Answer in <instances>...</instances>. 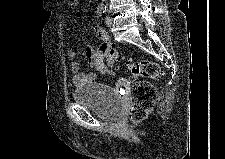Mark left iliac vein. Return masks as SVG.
<instances>
[{
  "label": "left iliac vein",
  "instance_id": "left-iliac-vein-1",
  "mask_svg": "<svg viewBox=\"0 0 225 159\" xmlns=\"http://www.w3.org/2000/svg\"><path fill=\"white\" fill-rule=\"evenodd\" d=\"M112 23H113L112 18L111 17H107L106 18V25L110 27L112 25Z\"/></svg>",
  "mask_w": 225,
  "mask_h": 159
}]
</instances>
